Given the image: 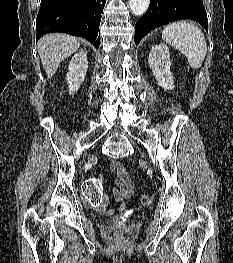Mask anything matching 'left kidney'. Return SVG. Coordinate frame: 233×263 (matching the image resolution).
<instances>
[{"instance_id":"left-kidney-1","label":"left kidney","mask_w":233,"mask_h":263,"mask_svg":"<svg viewBox=\"0 0 233 263\" xmlns=\"http://www.w3.org/2000/svg\"><path fill=\"white\" fill-rule=\"evenodd\" d=\"M149 65L157 83L164 90L174 88L173 75L170 71V53L165 44L154 45L148 58Z\"/></svg>"}]
</instances>
